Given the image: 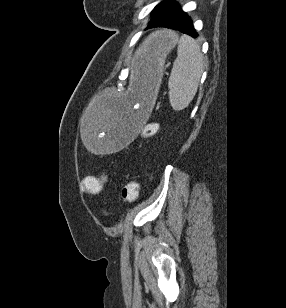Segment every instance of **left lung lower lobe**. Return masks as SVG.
Returning <instances> with one entry per match:
<instances>
[{"instance_id": "1", "label": "left lung lower lobe", "mask_w": 286, "mask_h": 308, "mask_svg": "<svg viewBox=\"0 0 286 308\" xmlns=\"http://www.w3.org/2000/svg\"><path fill=\"white\" fill-rule=\"evenodd\" d=\"M154 27L176 29L194 38L198 36L192 25V20L181 10L175 1H172L169 6L164 8L147 28Z\"/></svg>"}]
</instances>
